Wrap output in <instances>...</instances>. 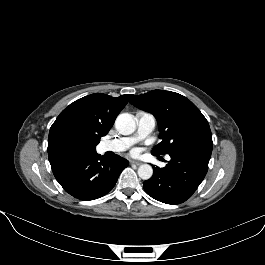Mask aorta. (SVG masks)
I'll use <instances>...</instances> for the list:
<instances>
[{
  "mask_svg": "<svg viewBox=\"0 0 265 265\" xmlns=\"http://www.w3.org/2000/svg\"><path fill=\"white\" fill-rule=\"evenodd\" d=\"M115 127L122 135H130L136 129L134 117L128 113L119 114L115 120ZM153 175V168L149 164H142L138 168V176L143 180H148Z\"/></svg>",
  "mask_w": 265,
  "mask_h": 265,
  "instance_id": "1",
  "label": "aorta"
}]
</instances>
